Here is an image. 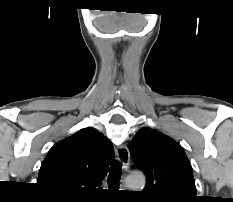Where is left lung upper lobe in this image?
Instances as JSON below:
<instances>
[{
  "label": "left lung upper lobe",
  "instance_id": "obj_1",
  "mask_svg": "<svg viewBox=\"0 0 233 202\" xmlns=\"http://www.w3.org/2000/svg\"><path fill=\"white\" fill-rule=\"evenodd\" d=\"M134 163L145 172L150 202H195L191 164L181 146L157 130L140 129L129 143Z\"/></svg>",
  "mask_w": 233,
  "mask_h": 202
}]
</instances>
